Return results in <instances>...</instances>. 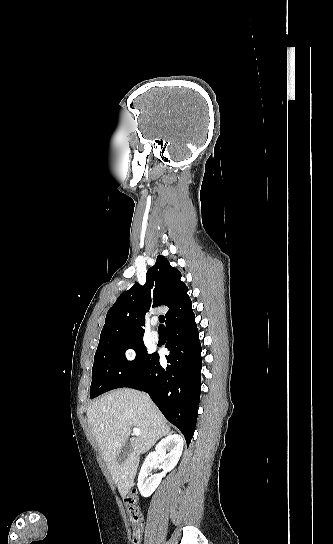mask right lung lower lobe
Masks as SVG:
<instances>
[{
	"label": "right lung lower lobe",
	"instance_id": "right-lung-lower-lobe-1",
	"mask_svg": "<svg viewBox=\"0 0 333 544\" xmlns=\"http://www.w3.org/2000/svg\"><path fill=\"white\" fill-rule=\"evenodd\" d=\"M170 351L164 369L153 353L141 378L127 386L147 392L189 445L196 426L201 393V344L194 313L166 326Z\"/></svg>",
	"mask_w": 333,
	"mask_h": 544
}]
</instances>
